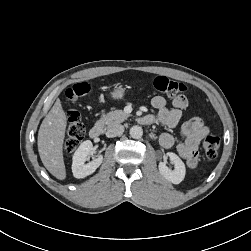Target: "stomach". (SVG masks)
<instances>
[{"label":"stomach","mask_w":251,"mask_h":251,"mask_svg":"<svg viewBox=\"0 0 251 251\" xmlns=\"http://www.w3.org/2000/svg\"><path fill=\"white\" fill-rule=\"evenodd\" d=\"M125 95V89L122 86H114L113 90L110 92V98L113 100H121Z\"/></svg>","instance_id":"1"}]
</instances>
